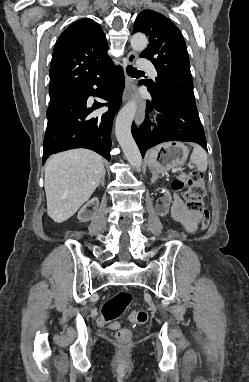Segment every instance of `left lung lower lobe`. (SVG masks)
<instances>
[{"label":"left lung lower lobe","instance_id":"left-lung-lower-lobe-1","mask_svg":"<svg viewBox=\"0 0 249 382\" xmlns=\"http://www.w3.org/2000/svg\"><path fill=\"white\" fill-rule=\"evenodd\" d=\"M153 101H147V111L155 108L162 113L159 126L151 130L150 121L146 117L140 128L132 125V135L144 156L147 149L167 141H188L200 144L207 150L205 133L201 124L196 104L160 96L148 87Z\"/></svg>","mask_w":249,"mask_h":382}]
</instances>
